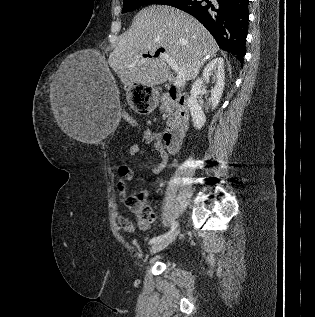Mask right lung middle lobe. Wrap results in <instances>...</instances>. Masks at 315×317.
<instances>
[{
	"label": "right lung middle lobe",
	"instance_id": "1",
	"mask_svg": "<svg viewBox=\"0 0 315 317\" xmlns=\"http://www.w3.org/2000/svg\"><path fill=\"white\" fill-rule=\"evenodd\" d=\"M177 1L178 0H123L122 13L130 12V11L137 9L143 5H149V4L173 5Z\"/></svg>",
	"mask_w": 315,
	"mask_h": 317
}]
</instances>
